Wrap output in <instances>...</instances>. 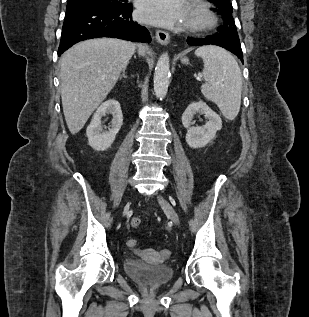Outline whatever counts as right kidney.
Instances as JSON below:
<instances>
[{
    "instance_id": "ca27d5eb",
    "label": "right kidney",
    "mask_w": 309,
    "mask_h": 317,
    "mask_svg": "<svg viewBox=\"0 0 309 317\" xmlns=\"http://www.w3.org/2000/svg\"><path fill=\"white\" fill-rule=\"evenodd\" d=\"M106 114H112L111 125L108 131H103L101 119ZM123 124V115L118 101L110 99L105 101L95 112L86 134L89 145L97 150L104 151L111 147L116 134L119 132Z\"/></svg>"
}]
</instances>
